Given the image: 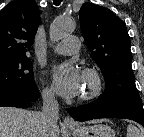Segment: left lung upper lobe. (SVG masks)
Returning a JSON list of instances; mask_svg holds the SVG:
<instances>
[{
  "label": "left lung upper lobe",
  "mask_w": 144,
  "mask_h": 137,
  "mask_svg": "<svg viewBox=\"0 0 144 137\" xmlns=\"http://www.w3.org/2000/svg\"><path fill=\"white\" fill-rule=\"evenodd\" d=\"M79 18L87 47L104 75L106 87L99 97L105 101L139 98L124 22L108 8L88 2L81 7Z\"/></svg>",
  "instance_id": "left-lung-upper-lobe-1"
}]
</instances>
